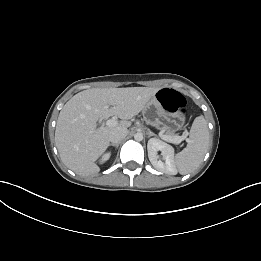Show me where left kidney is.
<instances>
[{
	"instance_id": "5707ae66",
	"label": "left kidney",
	"mask_w": 261,
	"mask_h": 261,
	"mask_svg": "<svg viewBox=\"0 0 261 261\" xmlns=\"http://www.w3.org/2000/svg\"><path fill=\"white\" fill-rule=\"evenodd\" d=\"M147 150L149 160L151 164L154 166V168L166 174H176L173 147L157 138H151L148 141ZM158 151H161L164 161L158 159Z\"/></svg>"
}]
</instances>
